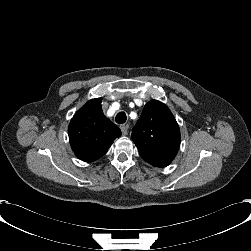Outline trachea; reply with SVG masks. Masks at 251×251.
Returning a JSON list of instances; mask_svg holds the SVG:
<instances>
[{"label": "trachea", "mask_w": 251, "mask_h": 251, "mask_svg": "<svg viewBox=\"0 0 251 251\" xmlns=\"http://www.w3.org/2000/svg\"><path fill=\"white\" fill-rule=\"evenodd\" d=\"M127 120V116L125 114V112L121 111L119 112L116 117H115V121L118 123V124H123L125 123Z\"/></svg>", "instance_id": "1"}]
</instances>
